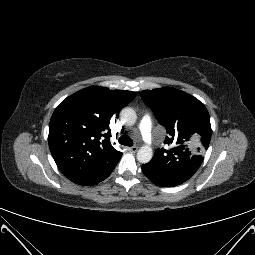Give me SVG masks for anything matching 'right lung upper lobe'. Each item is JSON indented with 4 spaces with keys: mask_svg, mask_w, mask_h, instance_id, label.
<instances>
[{
    "mask_svg": "<svg viewBox=\"0 0 255 255\" xmlns=\"http://www.w3.org/2000/svg\"><path fill=\"white\" fill-rule=\"evenodd\" d=\"M135 96L131 91L92 86L58 105L50 120L48 143L69 180L92 186L110 175L122 156L110 143V119Z\"/></svg>",
    "mask_w": 255,
    "mask_h": 255,
    "instance_id": "obj_1",
    "label": "right lung upper lobe"
}]
</instances>
